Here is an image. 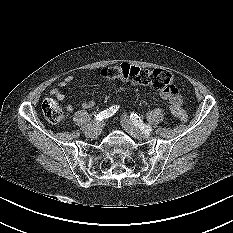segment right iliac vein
<instances>
[{
  "instance_id": "1",
  "label": "right iliac vein",
  "mask_w": 233,
  "mask_h": 233,
  "mask_svg": "<svg viewBox=\"0 0 233 233\" xmlns=\"http://www.w3.org/2000/svg\"><path fill=\"white\" fill-rule=\"evenodd\" d=\"M102 127L103 124L100 122L94 123L91 127L86 129L85 135L92 138L97 137L101 133Z\"/></svg>"
}]
</instances>
